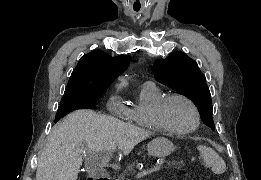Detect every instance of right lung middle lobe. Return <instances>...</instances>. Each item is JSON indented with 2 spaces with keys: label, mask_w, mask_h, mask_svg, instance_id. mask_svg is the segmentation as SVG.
Masks as SVG:
<instances>
[{
  "label": "right lung middle lobe",
  "mask_w": 261,
  "mask_h": 180,
  "mask_svg": "<svg viewBox=\"0 0 261 180\" xmlns=\"http://www.w3.org/2000/svg\"><path fill=\"white\" fill-rule=\"evenodd\" d=\"M104 92L105 91H89L79 89L65 90L55 117V122H58L62 117L73 110L91 109Z\"/></svg>",
  "instance_id": "right-lung-middle-lobe-1"
}]
</instances>
